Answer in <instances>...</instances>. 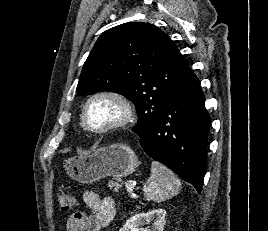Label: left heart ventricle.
Listing matches in <instances>:
<instances>
[{"mask_svg": "<svg viewBox=\"0 0 268 231\" xmlns=\"http://www.w3.org/2000/svg\"><path fill=\"white\" fill-rule=\"evenodd\" d=\"M120 116V106L111 99H97L87 111L90 125L99 127L116 120Z\"/></svg>", "mask_w": 268, "mask_h": 231, "instance_id": "obj_1", "label": "left heart ventricle"}]
</instances>
